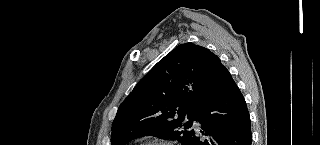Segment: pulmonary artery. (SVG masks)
<instances>
[{"label": "pulmonary artery", "instance_id": "1", "mask_svg": "<svg viewBox=\"0 0 320 145\" xmlns=\"http://www.w3.org/2000/svg\"><path fill=\"white\" fill-rule=\"evenodd\" d=\"M193 125H194V127H195L196 129H198V128H199V126H200V124H199V122H198V121H194Z\"/></svg>", "mask_w": 320, "mask_h": 145}]
</instances>
